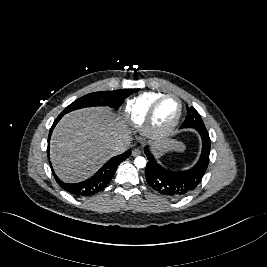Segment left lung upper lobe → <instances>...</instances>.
Returning <instances> with one entry per match:
<instances>
[{
	"label": "left lung upper lobe",
	"mask_w": 267,
	"mask_h": 267,
	"mask_svg": "<svg viewBox=\"0 0 267 267\" xmlns=\"http://www.w3.org/2000/svg\"><path fill=\"white\" fill-rule=\"evenodd\" d=\"M188 114L181 128H206L200 114L193 108L187 106Z\"/></svg>",
	"instance_id": "left-lung-upper-lobe-1"
}]
</instances>
